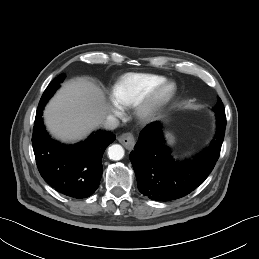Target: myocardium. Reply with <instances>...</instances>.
<instances>
[{"label":"myocardium","instance_id":"myocardium-1","mask_svg":"<svg viewBox=\"0 0 259 259\" xmlns=\"http://www.w3.org/2000/svg\"><path fill=\"white\" fill-rule=\"evenodd\" d=\"M176 92V84L172 81L156 85L133 104L135 117L142 123L154 120L173 100Z\"/></svg>","mask_w":259,"mask_h":259}]
</instances>
